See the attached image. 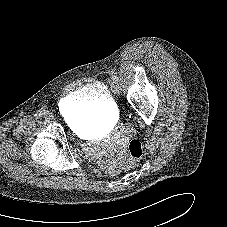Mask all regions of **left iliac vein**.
<instances>
[{
	"label": "left iliac vein",
	"mask_w": 227,
	"mask_h": 227,
	"mask_svg": "<svg viewBox=\"0 0 227 227\" xmlns=\"http://www.w3.org/2000/svg\"><path fill=\"white\" fill-rule=\"evenodd\" d=\"M112 86H113V88H114V90H115L116 92H119L120 87H119L118 83L113 82V83H112Z\"/></svg>",
	"instance_id": "1"
}]
</instances>
